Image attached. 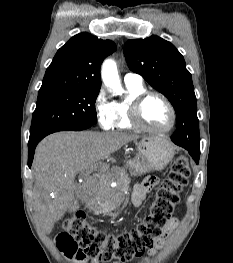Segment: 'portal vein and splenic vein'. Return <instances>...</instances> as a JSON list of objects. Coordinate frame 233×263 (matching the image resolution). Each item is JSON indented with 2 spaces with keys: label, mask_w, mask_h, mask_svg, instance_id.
Returning <instances> with one entry per match:
<instances>
[{
  "label": "portal vein and splenic vein",
  "mask_w": 233,
  "mask_h": 263,
  "mask_svg": "<svg viewBox=\"0 0 233 263\" xmlns=\"http://www.w3.org/2000/svg\"><path fill=\"white\" fill-rule=\"evenodd\" d=\"M96 167H97V166L92 167L90 171H87V173L89 174V172H91L92 170H95ZM89 180H90V178H89Z\"/></svg>",
  "instance_id": "18ae733b"
}]
</instances>
